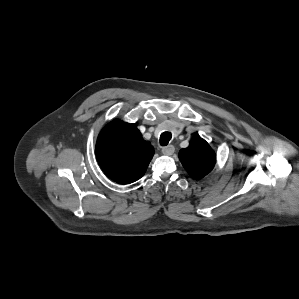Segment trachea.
I'll list each match as a JSON object with an SVG mask.
<instances>
[{"label": "trachea", "mask_w": 299, "mask_h": 299, "mask_svg": "<svg viewBox=\"0 0 299 299\" xmlns=\"http://www.w3.org/2000/svg\"><path fill=\"white\" fill-rule=\"evenodd\" d=\"M172 138V134L170 132H163L160 135V145L166 146Z\"/></svg>", "instance_id": "trachea-1"}]
</instances>
